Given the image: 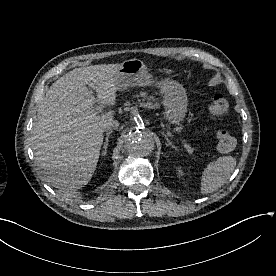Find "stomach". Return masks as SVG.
<instances>
[{
  "mask_svg": "<svg viewBox=\"0 0 276 276\" xmlns=\"http://www.w3.org/2000/svg\"><path fill=\"white\" fill-rule=\"evenodd\" d=\"M132 86H156L163 95L164 118L178 124L187 112V95L183 86L170 77L157 79L148 72L139 59H129L121 63L116 74V88L119 91Z\"/></svg>",
  "mask_w": 276,
  "mask_h": 276,
  "instance_id": "1",
  "label": "stomach"
}]
</instances>
